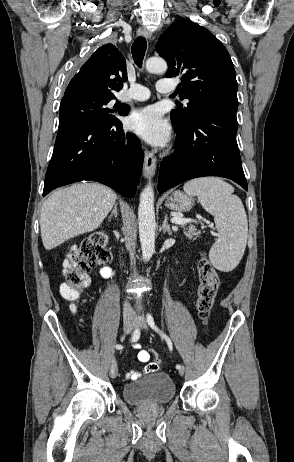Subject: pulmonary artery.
I'll use <instances>...</instances> for the list:
<instances>
[{"mask_svg": "<svg viewBox=\"0 0 294 462\" xmlns=\"http://www.w3.org/2000/svg\"><path fill=\"white\" fill-rule=\"evenodd\" d=\"M158 92L162 94H169L174 90V86L168 79H160L156 85ZM150 90L140 84H132L130 88L124 93V99L134 101H144L150 97Z\"/></svg>", "mask_w": 294, "mask_h": 462, "instance_id": "pulmonary-artery-1", "label": "pulmonary artery"}]
</instances>
